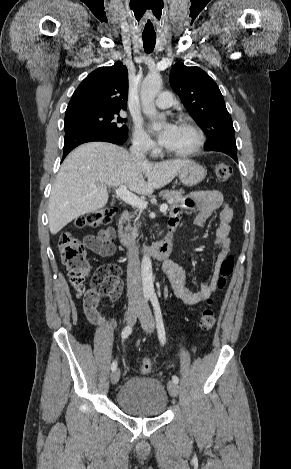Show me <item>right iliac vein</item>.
Returning a JSON list of instances; mask_svg holds the SVG:
<instances>
[{"instance_id":"right-iliac-vein-1","label":"right iliac vein","mask_w":291,"mask_h":469,"mask_svg":"<svg viewBox=\"0 0 291 469\" xmlns=\"http://www.w3.org/2000/svg\"><path fill=\"white\" fill-rule=\"evenodd\" d=\"M141 308L138 306H130L126 314V322L128 325H133L136 321L137 316L139 315ZM120 378V370L115 369L110 375L111 382L116 384Z\"/></svg>"}]
</instances>
